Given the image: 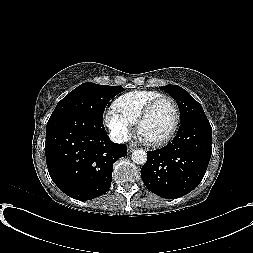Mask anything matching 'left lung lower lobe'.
<instances>
[{
	"instance_id": "left-lung-lower-lobe-1",
	"label": "left lung lower lobe",
	"mask_w": 253,
	"mask_h": 253,
	"mask_svg": "<svg viewBox=\"0 0 253 253\" xmlns=\"http://www.w3.org/2000/svg\"><path fill=\"white\" fill-rule=\"evenodd\" d=\"M211 143L212 128L207 117L181 123L172 142L147 152V162L141 169L145 186L166 199L188 194L205 175Z\"/></svg>"
}]
</instances>
